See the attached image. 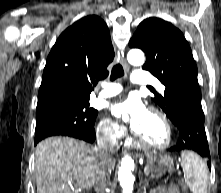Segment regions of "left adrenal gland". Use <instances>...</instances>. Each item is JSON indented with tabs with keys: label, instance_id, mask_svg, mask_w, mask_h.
<instances>
[{
	"label": "left adrenal gland",
	"instance_id": "1",
	"mask_svg": "<svg viewBox=\"0 0 221 193\" xmlns=\"http://www.w3.org/2000/svg\"><path fill=\"white\" fill-rule=\"evenodd\" d=\"M145 185H148V180H144Z\"/></svg>",
	"mask_w": 221,
	"mask_h": 193
}]
</instances>
